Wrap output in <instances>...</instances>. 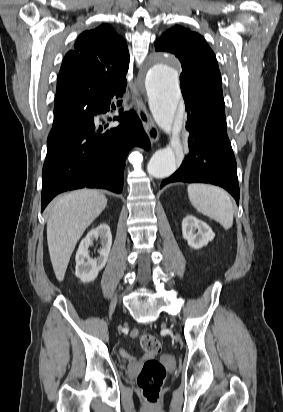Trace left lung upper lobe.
<instances>
[{
	"mask_svg": "<svg viewBox=\"0 0 283 412\" xmlns=\"http://www.w3.org/2000/svg\"><path fill=\"white\" fill-rule=\"evenodd\" d=\"M155 50L172 53L180 60L185 104L196 106L211 119L226 120L217 60L201 35L177 25L162 34Z\"/></svg>",
	"mask_w": 283,
	"mask_h": 412,
	"instance_id": "1",
	"label": "left lung upper lobe"
}]
</instances>
